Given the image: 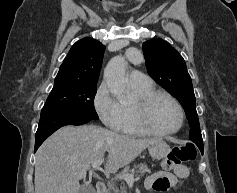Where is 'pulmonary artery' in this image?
<instances>
[{"label": "pulmonary artery", "mask_w": 237, "mask_h": 193, "mask_svg": "<svg viewBox=\"0 0 237 193\" xmlns=\"http://www.w3.org/2000/svg\"><path fill=\"white\" fill-rule=\"evenodd\" d=\"M129 81L131 85L136 87H144L152 85L150 77L139 71H133L129 74Z\"/></svg>", "instance_id": "pulmonary-artery-1"}]
</instances>
